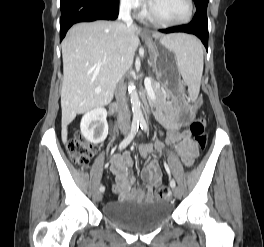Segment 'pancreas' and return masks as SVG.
I'll list each match as a JSON object with an SVG mask.
<instances>
[{"label": "pancreas", "mask_w": 264, "mask_h": 247, "mask_svg": "<svg viewBox=\"0 0 264 247\" xmlns=\"http://www.w3.org/2000/svg\"><path fill=\"white\" fill-rule=\"evenodd\" d=\"M152 87L157 95V97L163 101L164 95H163V88L160 86L159 82L152 80Z\"/></svg>", "instance_id": "1"}]
</instances>
